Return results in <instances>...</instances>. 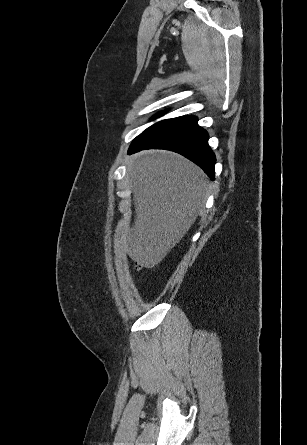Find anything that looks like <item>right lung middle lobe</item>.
I'll return each instance as SVG.
<instances>
[{"mask_svg": "<svg viewBox=\"0 0 307 445\" xmlns=\"http://www.w3.org/2000/svg\"><path fill=\"white\" fill-rule=\"evenodd\" d=\"M161 114H163V113H160V114L156 115L155 117H157V116H159V115H161Z\"/></svg>", "mask_w": 307, "mask_h": 445, "instance_id": "1", "label": "right lung middle lobe"}]
</instances>
